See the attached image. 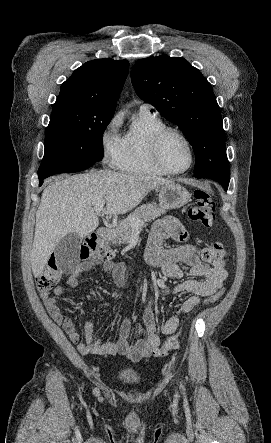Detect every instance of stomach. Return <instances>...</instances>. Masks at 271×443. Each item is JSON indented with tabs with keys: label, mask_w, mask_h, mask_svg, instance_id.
Masks as SVG:
<instances>
[{
	"label": "stomach",
	"mask_w": 271,
	"mask_h": 443,
	"mask_svg": "<svg viewBox=\"0 0 271 443\" xmlns=\"http://www.w3.org/2000/svg\"><path fill=\"white\" fill-rule=\"evenodd\" d=\"M191 194L174 182L163 184L159 192V202L162 208L166 210H173V208H181L190 202ZM118 233V231H117ZM116 233V235H117Z\"/></svg>",
	"instance_id": "obj_1"
}]
</instances>
